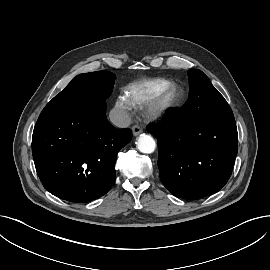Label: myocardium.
Wrapping results in <instances>:
<instances>
[{
  "label": "myocardium",
  "mask_w": 270,
  "mask_h": 270,
  "mask_svg": "<svg viewBox=\"0 0 270 270\" xmlns=\"http://www.w3.org/2000/svg\"><path fill=\"white\" fill-rule=\"evenodd\" d=\"M185 98L184 89L171 83L146 105L145 114L152 120L163 119L180 108L185 102Z\"/></svg>",
  "instance_id": "obj_1"
}]
</instances>
